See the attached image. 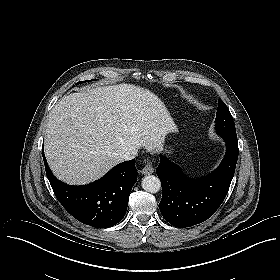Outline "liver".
<instances>
[{
	"label": "liver",
	"mask_w": 280,
	"mask_h": 280,
	"mask_svg": "<svg viewBox=\"0 0 280 280\" xmlns=\"http://www.w3.org/2000/svg\"><path fill=\"white\" fill-rule=\"evenodd\" d=\"M176 129L164 103L148 89L117 84L64 96L51 110L44 152L55 176L87 184L122 162L130 149L160 152Z\"/></svg>",
	"instance_id": "liver-1"
}]
</instances>
